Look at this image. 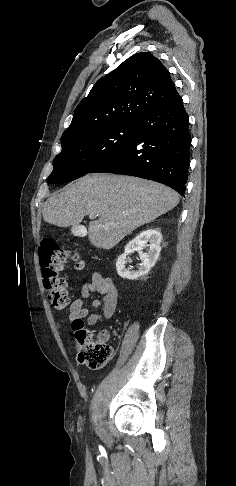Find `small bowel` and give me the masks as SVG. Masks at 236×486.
<instances>
[{
	"label": "small bowel",
	"instance_id": "obj_1",
	"mask_svg": "<svg viewBox=\"0 0 236 486\" xmlns=\"http://www.w3.org/2000/svg\"><path fill=\"white\" fill-rule=\"evenodd\" d=\"M94 293L100 294L101 297L92 301L91 308L94 310L101 309V312L91 313L90 309L85 306V301ZM117 303L118 290L112 280L98 272H93L91 281L85 283L81 288V298L71 303L69 307V320L73 324L75 320L85 318L88 325L94 326L98 322L111 318L117 308ZM98 338L107 341L109 339V332L107 330H101L98 333Z\"/></svg>",
	"mask_w": 236,
	"mask_h": 486
}]
</instances>
